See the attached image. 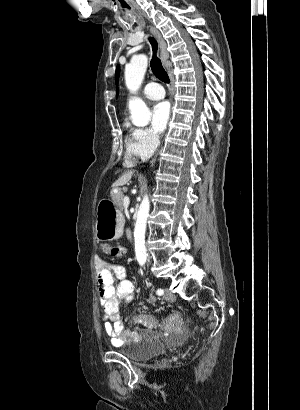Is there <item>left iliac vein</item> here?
Listing matches in <instances>:
<instances>
[{"label":"left iliac vein","mask_w":300,"mask_h":410,"mask_svg":"<svg viewBox=\"0 0 300 410\" xmlns=\"http://www.w3.org/2000/svg\"><path fill=\"white\" fill-rule=\"evenodd\" d=\"M175 298V295L169 289H165L164 299L166 301H174Z\"/></svg>","instance_id":"4c4485c4"}]
</instances>
